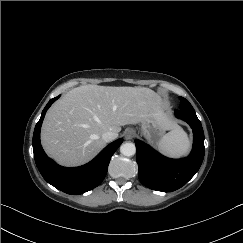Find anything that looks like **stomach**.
I'll return each mask as SVG.
<instances>
[{
  "instance_id": "stomach-1",
  "label": "stomach",
  "mask_w": 243,
  "mask_h": 243,
  "mask_svg": "<svg viewBox=\"0 0 243 243\" xmlns=\"http://www.w3.org/2000/svg\"><path fill=\"white\" fill-rule=\"evenodd\" d=\"M171 124L160 106L153 107L141 122L142 135L152 145L158 146Z\"/></svg>"
}]
</instances>
